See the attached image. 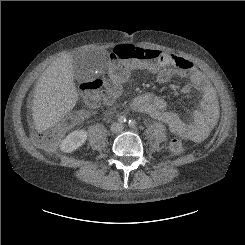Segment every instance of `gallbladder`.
Returning <instances> with one entry per match:
<instances>
[{
  "instance_id": "bac80fb5",
  "label": "gallbladder",
  "mask_w": 245,
  "mask_h": 245,
  "mask_svg": "<svg viewBox=\"0 0 245 245\" xmlns=\"http://www.w3.org/2000/svg\"><path fill=\"white\" fill-rule=\"evenodd\" d=\"M74 71L76 73V75H78V72H79V68L77 66V64L75 63V66H74Z\"/></svg>"
}]
</instances>
